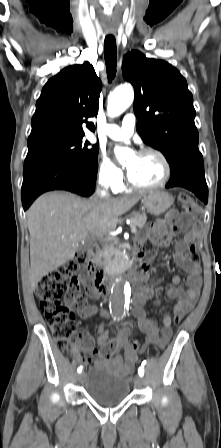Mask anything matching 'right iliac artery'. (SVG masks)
Masks as SVG:
<instances>
[{
    "mask_svg": "<svg viewBox=\"0 0 221 448\" xmlns=\"http://www.w3.org/2000/svg\"><path fill=\"white\" fill-rule=\"evenodd\" d=\"M82 369H83L82 366L78 367L77 372H78V373H81V372H82Z\"/></svg>",
    "mask_w": 221,
    "mask_h": 448,
    "instance_id": "1",
    "label": "right iliac artery"
}]
</instances>
